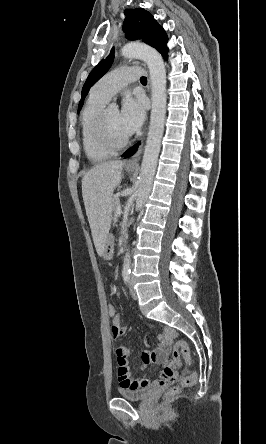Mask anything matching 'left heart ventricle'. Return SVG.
<instances>
[{
	"instance_id": "1",
	"label": "left heart ventricle",
	"mask_w": 266,
	"mask_h": 444,
	"mask_svg": "<svg viewBox=\"0 0 266 444\" xmlns=\"http://www.w3.org/2000/svg\"><path fill=\"white\" fill-rule=\"evenodd\" d=\"M107 133L111 140L120 142L129 136L119 122V112L114 109H108L106 115Z\"/></svg>"
}]
</instances>
